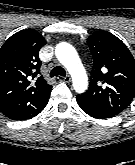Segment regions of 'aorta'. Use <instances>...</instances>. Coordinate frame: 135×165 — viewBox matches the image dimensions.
Segmentation results:
<instances>
[{
  "label": "aorta",
  "mask_w": 135,
  "mask_h": 165,
  "mask_svg": "<svg viewBox=\"0 0 135 165\" xmlns=\"http://www.w3.org/2000/svg\"><path fill=\"white\" fill-rule=\"evenodd\" d=\"M55 54L60 63H62L71 74L75 91L78 93L84 92L88 87V79L75 48L63 42L57 45Z\"/></svg>",
  "instance_id": "obj_1"
}]
</instances>
